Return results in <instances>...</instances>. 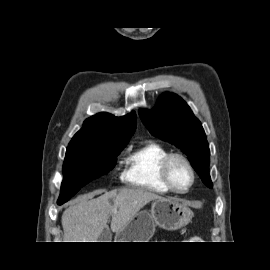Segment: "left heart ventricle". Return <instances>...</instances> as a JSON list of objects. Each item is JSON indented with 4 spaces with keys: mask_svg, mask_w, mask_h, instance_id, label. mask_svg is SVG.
<instances>
[{
    "mask_svg": "<svg viewBox=\"0 0 270 270\" xmlns=\"http://www.w3.org/2000/svg\"><path fill=\"white\" fill-rule=\"evenodd\" d=\"M171 177L174 184L180 189H185L188 187L191 181L189 170L180 161L173 162L171 166Z\"/></svg>",
    "mask_w": 270,
    "mask_h": 270,
    "instance_id": "1",
    "label": "left heart ventricle"
}]
</instances>
